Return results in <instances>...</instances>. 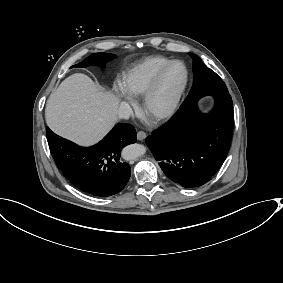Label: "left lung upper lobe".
Wrapping results in <instances>:
<instances>
[{"mask_svg":"<svg viewBox=\"0 0 283 283\" xmlns=\"http://www.w3.org/2000/svg\"><path fill=\"white\" fill-rule=\"evenodd\" d=\"M189 55L193 59L194 80L189 95L181 105L182 108L197 102L206 95L229 94L225 83L214 71L206 67L197 55L193 53Z\"/></svg>","mask_w":283,"mask_h":283,"instance_id":"obj_1","label":"left lung upper lobe"}]
</instances>
